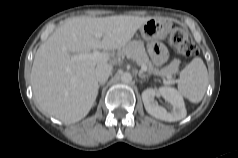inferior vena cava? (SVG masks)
Instances as JSON below:
<instances>
[{
    "instance_id": "obj_1",
    "label": "inferior vena cava",
    "mask_w": 238,
    "mask_h": 158,
    "mask_svg": "<svg viewBox=\"0 0 238 158\" xmlns=\"http://www.w3.org/2000/svg\"><path fill=\"white\" fill-rule=\"evenodd\" d=\"M112 72L108 63H99L95 69L96 79L99 83H105Z\"/></svg>"
}]
</instances>
